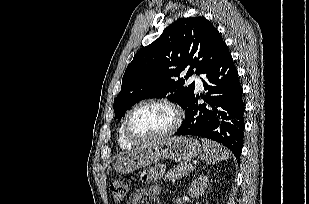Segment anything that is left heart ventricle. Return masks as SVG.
Returning <instances> with one entry per match:
<instances>
[{"instance_id":"obj_1","label":"left heart ventricle","mask_w":309,"mask_h":204,"mask_svg":"<svg viewBox=\"0 0 309 204\" xmlns=\"http://www.w3.org/2000/svg\"><path fill=\"white\" fill-rule=\"evenodd\" d=\"M173 122L172 111L160 104H149L132 115L129 128L138 137H150L167 130Z\"/></svg>"}]
</instances>
